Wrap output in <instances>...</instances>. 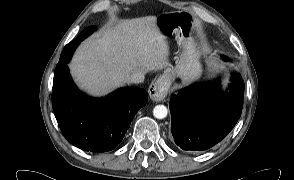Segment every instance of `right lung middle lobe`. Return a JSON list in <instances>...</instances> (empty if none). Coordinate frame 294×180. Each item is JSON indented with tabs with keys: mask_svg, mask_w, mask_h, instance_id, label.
Listing matches in <instances>:
<instances>
[{
	"mask_svg": "<svg viewBox=\"0 0 294 180\" xmlns=\"http://www.w3.org/2000/svg\"><path fill=\"white\" fill-rule=\"evenodd\" d=\"M95 29H96L95 26L87 27L79 34V36L74 41L84 40L87 36H89L91 33H93ZM74 41H72V42H74Z\"/></svg>",
	"mask_w": 294,
	"mask_h": 180,
	"instance_id": "right-lung-middle-lobe-1",
	"label": "right lung middle lobe"
}]
</instances>
